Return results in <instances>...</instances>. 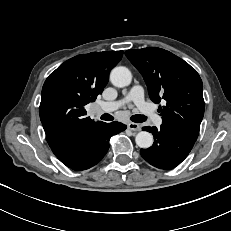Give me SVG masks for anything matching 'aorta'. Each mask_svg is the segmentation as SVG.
Segmentation results:
<instances>
[{"label":"aorta","instance_id":"1","mask_svg":"<svg viewBox=\"0 0 231 231\" xmlns=\"http://www.w3.org/2000/svg\"><path fill=\"white\" fill-rule=\"evenodd\" d=\"M132 74L126 67H115L110 73L111 83L119 88L128 86L131 83ZM136 144L143 149L149 148L153 144V136L147 131L139 132L135 137Z\"/></svg>","mask_w":231,"mask_h":231}]
</instances>
